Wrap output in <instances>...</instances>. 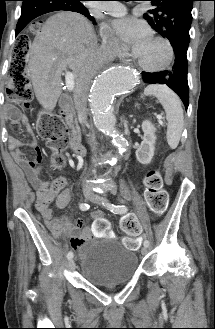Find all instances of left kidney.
Instances as JSON below:
<instances>
[{
    "instance_id": "left-kidney-1",
    "label": "left kidney",
    "mask_w": 215,
    "mask_h": 329,
    "mask_svg": "<svg viewBox=\"0 0 215 329\" xmlns=\"http://www.w3.org/2000/svg\"><path fill=\"white\" fill-rule=\"evenodd\" d=\"M142 130L144 132L143 140L136 150V158L141 164H149L154 156L156 128L149 121H143Z\"/></svg>"
}]
</instances>
